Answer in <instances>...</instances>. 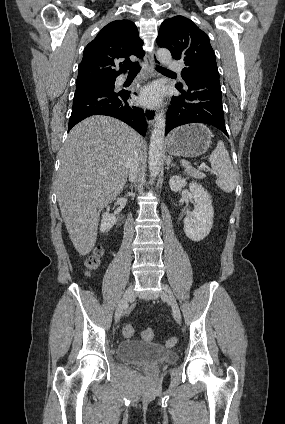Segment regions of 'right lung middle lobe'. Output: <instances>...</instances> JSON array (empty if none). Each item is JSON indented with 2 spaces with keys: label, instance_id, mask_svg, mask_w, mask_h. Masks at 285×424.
I'll return each instance as SVG.
<instances>
[{
  "label": "right lung middle lobe",
  "instance_id": "right-lung-middle-lobe-1",
  "mask_svg": "<svg viewBox=\"0 0 285 424\" xmlns=\"http://www.w3.org/2000/svg\"><path fill=\"white\" fill-rule=\"evenodd\" d=\"M114 83L115 81H98L76 84V90H81L85 88H107L114 90Z\"/></svg>",
  "mask_w": 285,
  "mask_h": 424
}]
</instances>
